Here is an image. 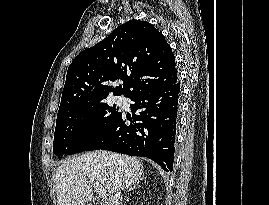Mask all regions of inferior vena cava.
I'll list each match as a JSON object with an SVG mask.
<instances>
[{
  "instance_id": "obj_1",
  "label": "inferior vena cava",
  "mask_w": 269,
  "mask_h": 205,
  "mask_svg": "<svg viewBox=\"0 0 269 205\" xmlns=\"http://www.w3.org/2000/svg\"><path fill=\"white\" fill-rule=\"evenodd\" d=\"M122 202V193L121 190H117V192L109 198L108 205H121Z\"/></svg>"
}]
</instances>
